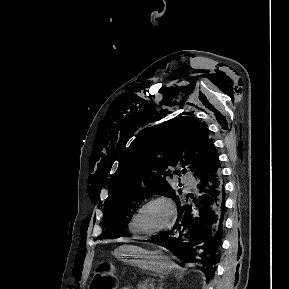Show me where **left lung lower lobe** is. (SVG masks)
I'll use <instances>...</instances> for the list:
<instances>
[{
	"mask_svg": "<svg viewBox=\"0 0 289 289\" xmlns=\"http://www.w3.org/2000/svg\"><path fill=\"white\" fill-rule=\"evenodd\" d=\"M194 177L197 191L175 201L178 217L172 230L151 238L150 242L167 248L184 262L201 263L200 269L209 280L215 272L225 212L217 150Z\"/></svg>",
	"mask_w": 289,
	"mask_h": 289,
	"instance_id": "0a47b994",
	"label": "left lung lower lobe"
}]
</instances>
